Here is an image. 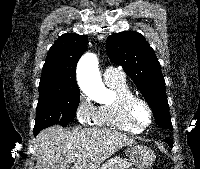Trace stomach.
I'll list each match as a JSON object with an SVG mask.
<instances>
[{
	"label": "stomach",
	"instance_id": "1",
	"mask_svg": "<svg viewBox=\"0 0 200 169\" xmlns=\"http://www.w3.org/2000/svg\"><path fill=\"white\" fill-rule=\"evenodd\" d=\"M128 153V160L132 165L137 167V169H147L155 160L154 152L144 145L130 146Z\"/></svg>",
	"mask_w": 200,
	"mask_h": 169
}]
</instances>
